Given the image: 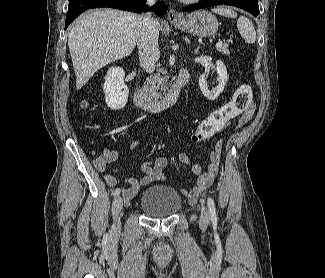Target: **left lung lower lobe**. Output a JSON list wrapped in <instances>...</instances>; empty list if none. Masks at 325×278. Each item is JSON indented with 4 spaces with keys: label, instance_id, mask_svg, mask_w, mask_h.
Wrapping results in <instances>:
<instances>
[{
    "label": "left lung lower lobe",
    "instance_id": "0a47b994",
    "mask_svg": "<svg viewBox=\"0 0 325 278\" xmlns=\"http://www.w3.org/2000/svg\"><path fill=\"white\" fill-rule=\"evenodd\" d=\"M223 4L242 8L254 15L255 17L258 16V14L260 13L258 0H202L199 3L186 6L185 8H183V11L187 12L191 10Z\"/></svg>",
    "mask_w": 325,
    "mask_h": 278
}]
</instances>
